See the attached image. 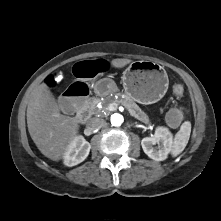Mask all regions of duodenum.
<instances>
[{
	"label": "duodenum",
	"mask_w": 221,
	"mask_h": 221,
	"mask_svg": "<svg viewBox=\"0 0 221 221\" xmlns=\"http://www.w3.org/2000/svg\"><path fill=\"white\" fill-rule=\"evenodd\" d=\"M87 117H88V111L86 108L80 109L77 112V119L79 122L84 123L87 120Z\"/></svg>",
	"instance_id": "duodenum-1"
}]
</instances>
